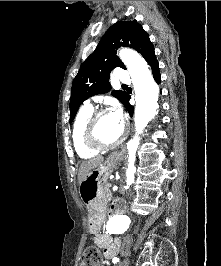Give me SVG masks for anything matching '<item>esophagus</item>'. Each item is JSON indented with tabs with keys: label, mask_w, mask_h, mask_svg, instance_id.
I'll return each instance as SVG.
<instances>
[{
	"label": "esophagus",
	"mask_w": 221,
	"mask_h": 266,
	"mask_svg": "<svg viewBox=\"0 0 221 266\" xmlns=\"http://www.w3.org/2000/svg\"><path fill=\"white\" fill-rule=\"evenodd\" d=\"M123 152H124V149H122L121 152H116V154H117V153H123Z\"/></svg>",
	"instance_id": "esophagus-1"
}]
</instances>
